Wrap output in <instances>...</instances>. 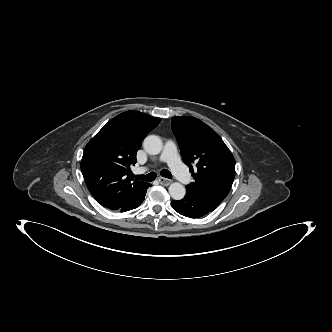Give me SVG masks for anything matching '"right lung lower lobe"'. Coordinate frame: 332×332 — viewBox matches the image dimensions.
<instances>
[{"label":"right lung lower lobe","mask_w":332,"mask_h":332,"mask_svg":"<svg viewBox=\"0 0 332 332\" xmlns=\"http://www.w3.org/2000/svg\"><path fill=\"white\" fill-rule=\"evenodd\" d=\"M149 186H151V184H147L146 186H144L133 198H131L129 201H127L123 205H121L119 207L109 208V209L120 211V212H125L128 210L137 208L143 202L146 191Z\"/></svg>","instance_id":"1"}]
</instances>
